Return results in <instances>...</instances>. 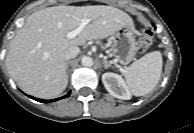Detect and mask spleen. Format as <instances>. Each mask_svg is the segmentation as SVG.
Returning a JSON list of instances; mask_svg holds the SVG:
<instances>
[{"mask_svg": "<svg viewBox=\"0 0 194 133\" xmlns=\"http://www.w3.org/2000/svg\"><path fill=\"white\" fill-rule=\"evenodd\" d=\"M162 64L161 52L153 51L126 67L124 77L130 92L134 96L151 92L160 80Z\"/></svg>", "mask_w": 194, "mask_h": 133, "instance_id": "obj_1", "label": "spleen"}]
</instances>
